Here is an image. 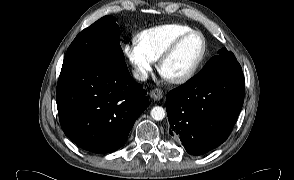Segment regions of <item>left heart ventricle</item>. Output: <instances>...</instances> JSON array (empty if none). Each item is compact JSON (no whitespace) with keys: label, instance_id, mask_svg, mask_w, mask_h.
Wrapping results in <instances>:
<instances>
[{"label":"left heart ventricle","instance_id":"obj_1","mask_svg":"<svg viewBox=\"0 0 294 180\" xmlns=\"http://www.w3.org/2000/svg\"><path fill=\"white\" fill-rule=\"evenodd\" d=\"M202 51V40L198 35L187 38L164 64L162 73L167 78L184 75L195 63Z\"/></svg>","mask_w":294,"mask_h":180}]
</instances>
